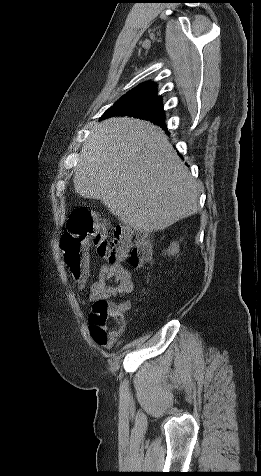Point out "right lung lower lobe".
I'll list each match as a JSON object with an SVG mask.
<instances>
[{"mask_svg":"<svg viewBox=\"0 0 261 476\" xmlns=\"http://www.w3.org/2000/svg\"><path fill=\"white\" fill-rule=\"evenodd\" d=\"M158 125H159L160 127H164V128H166V127L164 126V124H158Z\"/></svg>","mask_w":261,"mask_h":476,"instance_id":"obj_1","label":"right lung lower lobe"}]
</instances>
